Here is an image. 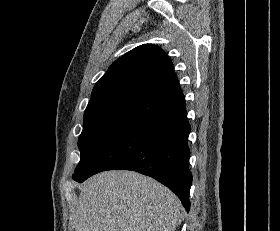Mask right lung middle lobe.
Masks as SVG:
<instances>
[{
    "mask_svg": "<svg viewBox=\"0 0 280 231\" xmlns=\"http://www.w3.org/2000/svg\"><path fill=\"white\" fill-rule=\"evenodd\" d=\"M83 121V131L78 140L81 160L72 177L80 174L106 145L137 123L125 118H88Z\"/></svg>",
    "mask_w": 280,
    "mask_h": 231,
    "instance_id": "right-lung-middle-lobe-1",
    "label": "right lung middle lobe"
}]
</instances>
